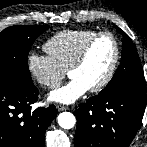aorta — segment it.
<instances>
[{"mask_svg": "<svg viewBox=\"0 0 147 147\" xmlns=\"http://www.w3.org/2000/svg\"><path fill=\"white\" fill-rule=\"evenodd\" d=\"M76 123L75 116L70 112H62L58 116V124L63 129H71Z\"/></svg>", "mask_w": 147, "mask_h": 147, "instance_id": "1", "label": "aorta"}]
</instances>
